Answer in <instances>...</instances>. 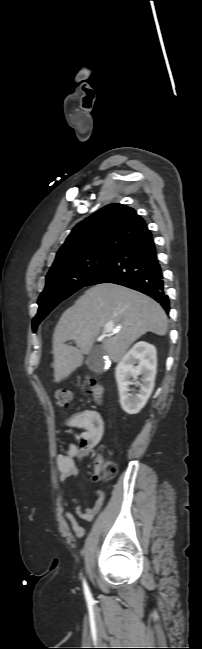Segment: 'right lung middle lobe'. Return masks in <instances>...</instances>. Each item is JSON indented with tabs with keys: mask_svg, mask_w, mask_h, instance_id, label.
Segmentation results:
<instances>
[{
	"mask_svg": "<svg viewBox=\"0 0 202 649\" xmlns=\"http://www.w3.org/2000/svg\"><path fill=\"white\" fill-rule=\"evenodd\" d=\"M116 253L89 251L77 254L52 265L46 276V285L38 299V313L32 325L35 332L39 323L61 301L84 287L99 269Z\"/></svg>",
	"mask_w": 202,
	"mask_h": 649,
	"instance_id": "dd1d6c3e",
	"label": "right lung middle lobe"
}]
</instances>
